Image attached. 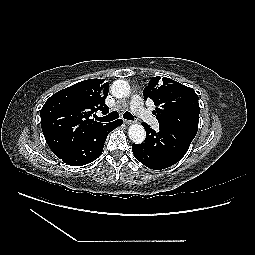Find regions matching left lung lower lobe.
<instances>
[{
    "instance_id": "obj_1",
    "label": "left lung lower lobe",
    "mask_w": 255,
    "mask_h": 255,
    "mask_svg": "<svg viewBox=\"0 0 255 255\" xmlns=\"http://www.w3.org/2000/svg\"><path fill=\"white\" fill-rule=\"evenodd\" d=\"M146 139L142 144H133L135 158L148 168L161 170L168 168L186 154L198 129L172 124H159V131L142 123Z\"/></svg>"
}]
</instances>
